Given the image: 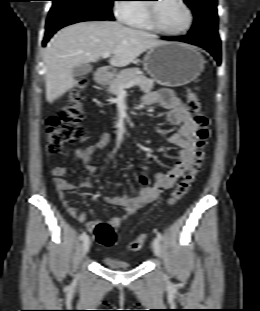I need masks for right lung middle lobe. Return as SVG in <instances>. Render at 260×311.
<instances>
[{"label":"right lung middle lobe","mask_w":260,"mask_h":311,"mask_svg":"<svg viewBox=\"0 0 260 311\" xmlns=\"http://www.w3.org/2000/svg\"><path fill=\"white\" fill-rule=\"evenodd\" d=\"M53 6L51 10L57 11L61 8L82 11L87 13H92L113 18L111 12V7L113 6V1L115 0H52Z\"/></svg>","instance_id":"dd1d6c3e"}]
</instances>
